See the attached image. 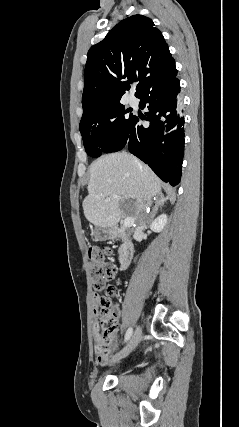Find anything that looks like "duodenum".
Returning a JSON list of instances; mask_svg holds the SVG:
<instances>
[{
	"instance_id": "duodenum-1",
	"label": "duodenum",
	"mask_w": 239,
	"mask_h": 427,
	"mask_svg": "<svg viewBox=\"0 0 239 427\" xmlns=\"http://www.w3.org/2000/svg\"><path fill=\"white\" fill-rule=\"evenodd\" d=\"M112 233L120 236L122 240L119 252V263L121 270H125L130 265L135 253L134 242L124 230L114 229Z\"/></svg>"
}]
</instances>
